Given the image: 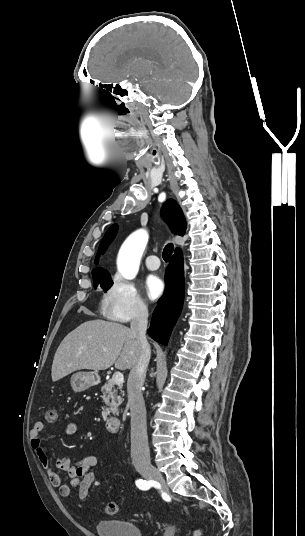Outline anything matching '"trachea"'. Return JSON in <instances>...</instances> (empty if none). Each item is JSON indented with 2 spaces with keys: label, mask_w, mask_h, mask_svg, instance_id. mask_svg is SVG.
Listing matches in <instances>:
<instances>
[{
  "label": "trachea",
  "mask_w": 305,
  "mask_h": 536,
  "mask_svg": "<svg viewBox=\"0 0 305 536\" xmlns=\"http://www.w3.org/2000/svg\"><path fill=\"white\" fill-rule=\"evenodd\" d=\"M173 250H174V247H173L172 243H169L168 245L165 246V248L163 250V253H162V258L166 263L171 258Z\"/></svg>",
  "instance_id": "3493384b"
}]
</instances>
